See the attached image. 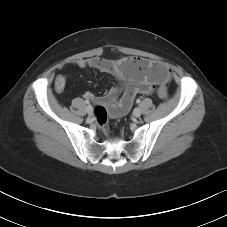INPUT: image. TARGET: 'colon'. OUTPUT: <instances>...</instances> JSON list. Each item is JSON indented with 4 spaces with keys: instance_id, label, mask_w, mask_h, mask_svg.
<instances>
[{
    "instance_id": "obj_1",
    "label": "colon",
    "mask_w": 227,
    "mask_h": 227,
    "mask_svg": "<svg viewBox=\"0 0 227 227\" xmlns=\"http://www.w3.org/2000/svg\"><path fill=\"white\" fill-rule=\"evenodd\" d=\"M154 67L156 69H158L164 75L169 74L168 69L161 63L154 62ZM158 96L161 99L168 98V90H167L166 86L162 85L158 88ZM94 118H95V121L97 122V124L102 129V131L107 134L108 133V124H107L108 113H107L106 108L102 105L96 106V108L94 110Z\"/></svg>"
}]
</instances>
